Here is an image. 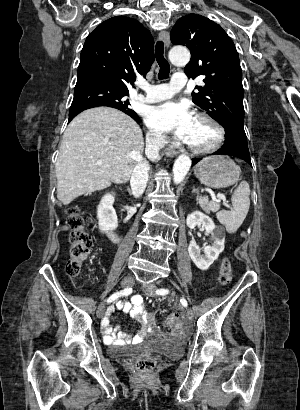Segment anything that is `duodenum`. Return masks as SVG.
<instances>
[{
	"label": "duodenum",
	"mask_w": 300,
	"mask_h": 410,
	"mask_svg": "<svg viewBox=\"0 0 300 410\" xmlns=\"http://www.w3.org/2000/svg\"><path fill=\"white\" fill-rule=\"evenodd\" d=\"M113 195H116V193L114 192ZM107 235H108V237H109L111 240H113V241H117V240H118V234H117L114 230H112V229H109V230L107 231Z\"/></svg>",
	"instance_id": "duodenum-1"
}]
</instances>
